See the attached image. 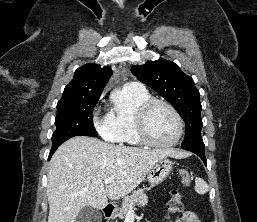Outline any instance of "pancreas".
I'll return each mask as SVG.
<instances>
[{"mask_svg":"<svg viewBox=\"0 0 257 222\" xmlns=\"http://www.w3.org/2000/svg\"><path fill=\"white\" fill-rule=\"evenodd\" d=\"M148 203V197L144 193V189L133 191L131 195L123 199L122 207L119 210V218L123 219L124 216L135 206H145Z\"/></svg>","mask_w":257,"mask_h":222,"instance_id":"pancreas-1","label":"pancreas"}]
</instances>
